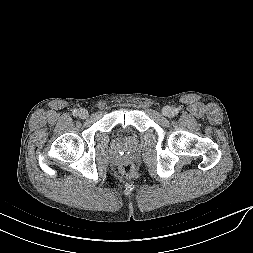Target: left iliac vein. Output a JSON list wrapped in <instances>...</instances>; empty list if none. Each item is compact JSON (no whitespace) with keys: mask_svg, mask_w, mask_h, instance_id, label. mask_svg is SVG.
<instances>
[{"mask_svg":"<svg viewBox=\"0 0 253 253\" xmlns=\"http://www.w3.org/2000/svg\"><path fill=\"white\" fill-rule=\"evenodd\" d=\"M162 114L166 117H170L172 114V109L169 106H165L162 109Z\"/></svg>","mask_w":253,"mask_h":253,"instance_id":"1","label":"left iliac vein"}]
</instances>
